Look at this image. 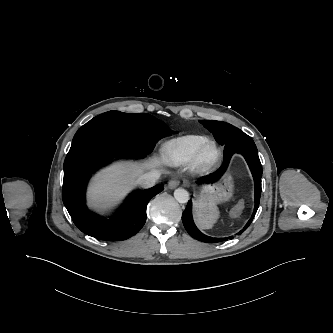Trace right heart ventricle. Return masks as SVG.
<instances>
[{
    "label": "right heart ventricle",
    "mask_w": 333,
    "mask_h": 333,
    "mask_svg": "<svg viewBox=\"0 0 333 333\" xmlns=\"http://www.w3.org/2000/svg\"><path fill=\"white\" fill-rule=\"evenodd\" d=\"M207 142L208 139L200 135H187L175 138L164 145V153L172 164L191 163L200 148Z\"/></svg>",
    "instance_id": "right-heart-ventricle-1"
}]
</instances>
